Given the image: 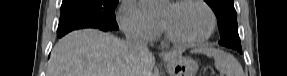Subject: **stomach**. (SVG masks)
Segmentation results:
<instances>
[{"mask_svg":"<svg viewBox=\"0 0 287 76\" xmlns=\"http://www.w3.org/2000/svg\"><path fill=\"white\" fill-rule=\"evenodd\" d=\"M198 64L191 58L178 56L168 62L169 76H195Z\"/></svg>","mask_w":287,"mask_h":76,"instance_id":"1","label":"stomach"}]
</instances>
